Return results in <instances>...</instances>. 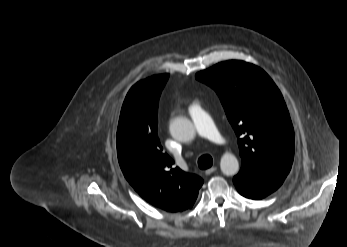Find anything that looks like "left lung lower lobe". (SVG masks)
Returning <instances> with one entry per match:
<instances>
[{
	"label": "left lung lower lobe",
	"instance_id": "obj_1",
	"mask_svg": "<svg viewBox=\"0 0 347 247\" xmlns=\"http://www.w3.org/2000/svg\"><path fill=\"white\" fill-rule=\"evenodd\" d=\"M284 179L279 177H253L239 172L233 182L238 192L250 199H262L283 183Z\"/></svg>",
	"mask_w": 347,
	"mask_h": 247
}]
</instances>
